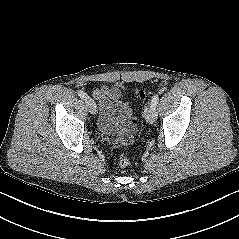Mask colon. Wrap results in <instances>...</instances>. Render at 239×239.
I'll return each instance as SVG.
<instances>
[{
    "label": "colon",
    "instance_id": "1",
    "mask_svg": "<svg viewBox=\"0 0 239 239\" xmlns=\"http://www.w3.org/2000/svg\"><path fill=\"white\" fill-rule=\"evenodd\" d=\"M151 95L144 90H139L136 93V97L140 100H145L146 98L150 97ZM118 164L122 168H126L130 164V160L126 154H121L118 159Z\"/></svg>",
    "mask_w": 239,
    "mask_h": 239
}]
</instances>
